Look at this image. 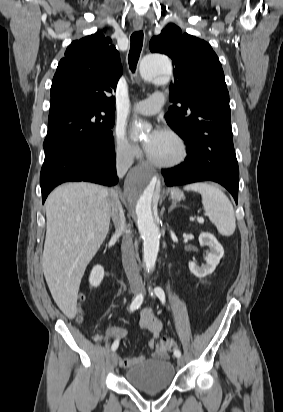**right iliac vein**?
Here are the masks:
<instances>
[{
  "mask_svg": "<svg viewBox=\"0 0 283 412\" xmlns=\"http://www.w3.org/2000/svg\"><path fill=\"white\" fill-rule=\"evenodd\" d=\"M132 293H133V294H137V293H138V289H132ZM117 363H118L117 353L113 352V353L111 354V356H110V364H111V367H112V368L116 367V366H117Z\"/></svg>",
  "mask_w": 283,
  "mask_h": 412,
  "instance_id": "63e3f726",
  "label": "right iliac vein"
}]
</instances>
